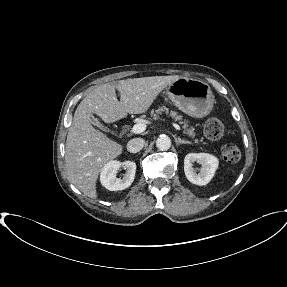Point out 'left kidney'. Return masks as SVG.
<instances>
[{"label": "left kidney", "mask_w": 287, "mask_h": 287, "mask_svg": "<svg viewBox=\"0 0 287 287\" xmlns=\"http://www.w3.org/2000/svg\"><path fill=\"white\" fill-rule=\"evenodd\" d=\"M196 161L202 165V169L198 174L193 168V164ZM218 163V159L208 153H189L184 159L185 176L193 184L206 185L213 178L218 168Z\"/></svg>", "instance_id": "obj_1"}]
</instances>
